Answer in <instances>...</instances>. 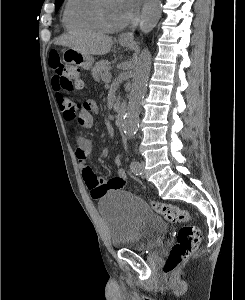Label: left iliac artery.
I'll use <instances>...</instances> for the list:
<instances>
[{
  "mask_svg": "<svg viewBox=\"0 0 245 300\" xmlns=\"http://www.w3.org/2000/svg\"><path fill=\"white\" fill-rule=\"evenodd\" d=\"M130 169L134 174L139 175L140 174V163L138 161H132L130 164Z\"/></svg>",
  "mask_w": 245,
  "mask_h": 300,
  "instance_id": "left-iliac-artery-1",
  "label": "left iliac artery"
}]
</instances>
